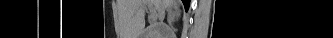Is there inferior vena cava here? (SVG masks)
I'll list each match as a JSON object with an SVG mask.
<instances>
[{
    "mask_svg": "<svg viewBox=\"0 0 333 38\" xmlns=\"http://www.w3.org/2000/svg\"><path fill=\"white\" fill-rule=\"evenodd\" d=\"M164 13H165V11H164V6H161V9H160V16H159L161 22H162L163 19H164Z\"/></svg>",
    "mask_w": 333,
    "mask_h": 38,
    "instance_id": "inferior-vena-cava-1",
    "label": "inferior vena cava"
}]
</instances>
